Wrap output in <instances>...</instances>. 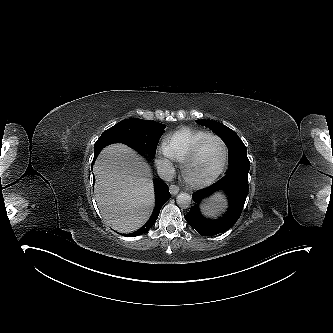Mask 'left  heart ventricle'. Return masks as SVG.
<instances>
[{
    "mask_svg": "<svg viewBox=\"0 0 333 333\" xmlns=\"http://www.w3.org/2000/svg\"><path fill=\"white\" fill-rule=\"evenodd\" d=\"M223 146L216 140H208L201 148L198 156L189 164L188 172L195 179L212 176L223 160Z\"/></svg>",
    "mask_w": 333,
    "mask_h": 333,
    "instance_id": "b2bd125f",
    "label": "left heart ventricle"
}]
</instances>
